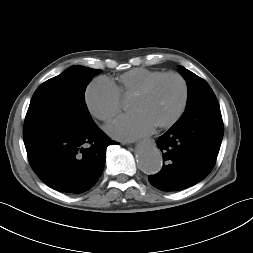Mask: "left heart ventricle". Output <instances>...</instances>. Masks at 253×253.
I'll return each mask as SVG.
<instances>
[{"mask_svg":"<svg viewBox=\"0 0 253 253\" xmlns=\"http://www.w3.org/2000/svg\"><path fill=\"white\" fill-rule=\"evenodd\" d=\"M181 99V83L175 78H166L156 84L146 96L132 99L130 110L143 114L157 126L175 114Z\"/></svg>","mask_w":253,"mask_h":253,"instance_id":"obj_1","label":"left heart ventricle"}]
</instances>
